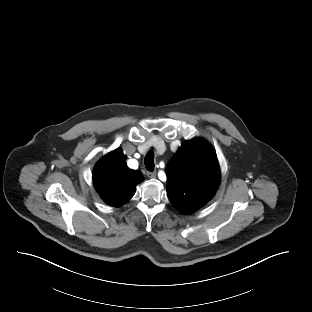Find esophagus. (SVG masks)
<instances>
[{
    "instance_id": "1",
    "label": "esophagus",
    "mask_w": 312,
    "mask_h": 312,
    "mask_svg": "<svg viewBox=\"0 0 312 312\" xmlns=\"http://www.w3.org/2000/svg\"><path fill=\"white\" fill-rule=\"evenodd\" d=\"M147 176L149 178H155L156 177V172L155 171H147Z\"/></svg>"
}]
</instances>
